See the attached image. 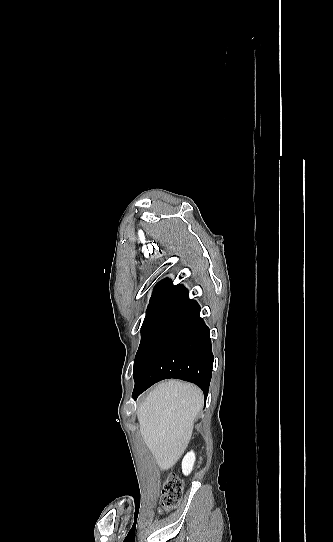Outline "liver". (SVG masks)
<instances>
[{
  "instance_id": "liver-1",
  "label": "liver",
  "mask_w": 333,
  "mask_h": 542,
  "mask_svg": "<svg viewBox=\"0 0 333 542\" xmlns=\"http://www.w3.org/2000/svg\"><path fill=\"white\" fill-rule=\"evenodd\" d=\"M202 406L201 390L178 380L162 382L140 404V434L162 472L173 468L186 450Z\"/></svg>"
}]
</instances>
